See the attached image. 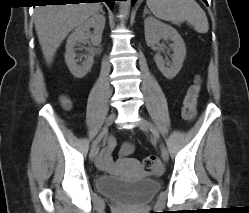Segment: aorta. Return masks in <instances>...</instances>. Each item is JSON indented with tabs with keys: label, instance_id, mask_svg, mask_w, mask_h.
I'll return each instance as SVG.
<instances>
[{
	"label": "aorta",
	"instance_id": "aorta-1",
	"mask_svg": "<svg viewBox=\"0 0 249 213\" xmlns=\"http://www.w3.org/2000/svg\"><path fill=\"white\" fill-rule=\"evenodd\" d=\"M119 11L123 15V17H126L130 10V0L127 1H119Z\"/></svg>",
	"mask_w": 249,
	"mask_h": 213
}]
</instances>
